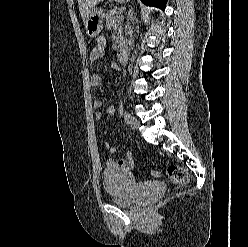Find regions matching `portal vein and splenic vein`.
<instances>
[{"instance_id":"18ae733b","label":"portal vein and splenic vein","mask_w":248,"mask_h":247,"mask_svg":"<svg viewBox=\"0 0 248 247\" xmlns=\"http://www.w3.org/2000/svg\"><path fill=\"white\" fill-rule=\"evenodd\" d=\"M124 10H125L124 8H121V9H120V12H123Z\"/></svg>"}]
</instances>
